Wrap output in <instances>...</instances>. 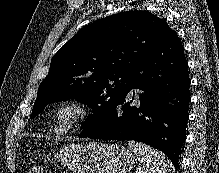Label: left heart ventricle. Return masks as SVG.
<instances>
[{"instance_id": "left-heart-ventricle-1", "label": "left heart ventricle", "mask_w": 219, "mask_h": 173, "mask_svg": "<svg viewBox=\"0 0 219 173\" xmlns=\"http://www.w3.org/2000/svg\"><path fill=\"white\" fill-rule=\"evenodd\" d=\"M67 117H68V113L64 112V113L61 114L60 120L65 121Z\"/></svg>"}]
</instances>
